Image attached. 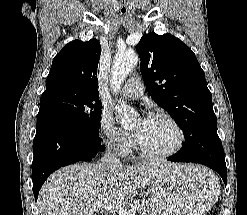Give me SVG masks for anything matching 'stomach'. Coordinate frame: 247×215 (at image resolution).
<instances>
[{
	"instance_id": "1",
	"label": "stomach",
	"mask_w": 247,
	"mask_h": 215,
	"mask_svg": "<svg viewBox=\"0 0 247 215\" xmlns=\"http://www.w3.org/2000/svg\"><path fill=\"white\" fill-rule=\"evenodd\" d=\"M217 177L204 167L177 165L153 180L151 203L158 215H205L216 201Z\"/></svg>"
}]
</instances>
